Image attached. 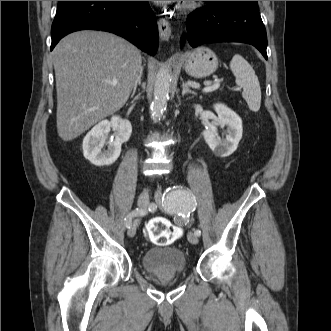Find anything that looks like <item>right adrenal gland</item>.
<instances>
[{
    "label": "right adrenal gland",
    "instance_id": "2a0ac1e0",
    "mask_svg": "<svg viewBox=\"0 0 331 331\" xmlns=\"http://www.w3.org/2000/svg\"><path fill=\"white\" fill-rule=\"evenodd\" d=\"M142 73H143V68H141L140 73H139V75L137 76V79H136V81H135V83H134L133 91H132V94H131V98L134 97V95H135V93H136L137 86L141 84Z\"/></svg>",
    "mask_w": 331,
    "mask_h": 331
}]
</instances>
